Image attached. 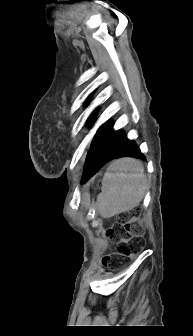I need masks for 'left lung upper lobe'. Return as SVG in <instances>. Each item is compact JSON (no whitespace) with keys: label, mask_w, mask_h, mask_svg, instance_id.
Here are the masks:
<instances>
[{"label":"left lung upper lobe","mask_w":193,"mask_h":336,"mask_svg":"<svg viewBox=\"0 0 193 336\" xmlns=\"http://www.w3.org/2000/svg\"><path fill=\"white\" fill-rule=\"evenodd\" d=\"M94 113H95V112H94ZM94 113H93L92 115H94ZM92 115L90 116V120H92V119H93Z\"/></svg>","instance_id":"1"}]
</instances>
